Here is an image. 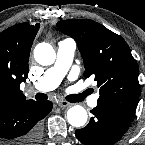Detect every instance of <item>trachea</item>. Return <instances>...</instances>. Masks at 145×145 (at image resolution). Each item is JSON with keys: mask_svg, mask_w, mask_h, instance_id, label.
Masks as SVG:
<instances>
[{"mask_svg": "<svg viewBox=\"0 0 145 145\" xmlns=\"http://www.w3.org/2000/svg\"><path fill=\"white\" fill-rule=\"evenodd\" d=\"M88 94H89V92L85 91L82 94L72 95L71 97H72L73 100L78 102V101H82L85 98V96H87ZM35 98H36V100H46L47 99V95L44 94V93H37Z\"/></svg>", "mask_w": 145, "mask_h": 145, "instance_id": "obj_1", "label": "trachea"}]
</instances>
